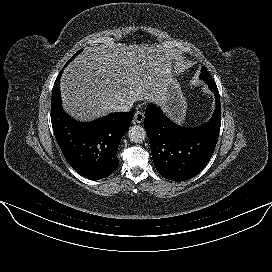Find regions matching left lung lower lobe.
<instances>
[{"instance_id": "1", "label": "left lung lower lobe", "mask_w": 272, "mask_h": 272, "mask_svg": "<svg viewBox=\"0 0 272 272\" xmlns=\"http://www.w3.org/2000/svg\"><path fill=\"white\" fill-rule=\"evenodd\" d=\"M216 98L214 115L195 129L182 128L170 121L156 105L145 111V130L158 173L172 181H184L201 172L210 160L221 126L220 96L213 79L205 80Z\"/></svg>"}]
</instances>
